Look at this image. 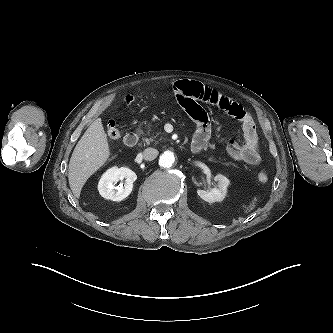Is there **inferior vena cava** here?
Here are the masks:
<instances>
[{"mask_svg":"<svg viewBox=\"0 0 333 333\" xmlns=\"http://www.w3.org/2000/svg\"><path fill=\"white\" fill-rule=\"evenodd\" d=\"M158 150L155 149V148H146L144 151H143V157L145 160L147 161H152L154 160L157 156H158Z\"/></svg>","mask_w":333,"mask_h":333,"instance_id":"1","label":"inferior vena cava"}]
</instances>
